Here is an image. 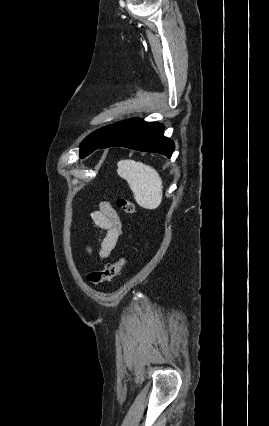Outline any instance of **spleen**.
I'll return each mask as SVG.
<instances>
[{
  "mask_svg": "<svg viewBox=\"0 0 269 426\" xmlns=\"http://www.w3.org/2000/svg\"><path fill=\"white\" fill-rule=\"evenodd\" d=\"M117 166L118 175L127 181L139 206L145 209H155L160 206L163 183L154 168L131 159L120 160Z\"/></svg>",
  "mask_w": 269,
  "mask_h": 426,
  "instance_id": "1",
  "label": "spleen"
}]
</instances>
